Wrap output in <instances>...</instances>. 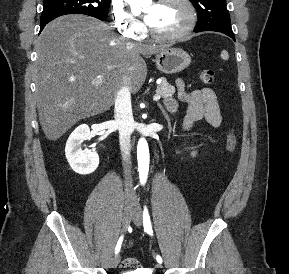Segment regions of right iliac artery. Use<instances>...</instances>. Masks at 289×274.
Instances as JSON below:
<instances>
[{"instance_id":"1","label":"right iliac artery","mask_w":289,"mask_h":274,"mask_svg":"<svg viewBox=\"0 0 289 274\" xmlns=\"http://www.w3.org/2000/svg\"><path fill=\"white\" fill-rule=\"evenodd\" d=\"M123 238H124L123 235L119 238V240H118V242H117V245H116V247H115V254H118V253H119V251H120V249H121L122 242H123Z\"/></svg>"}]
</instances>
